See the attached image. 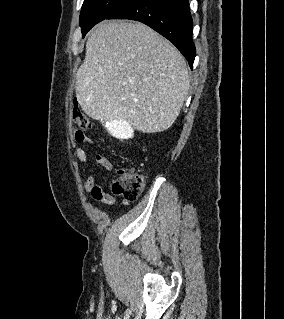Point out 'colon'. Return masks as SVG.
Here are the masks:
<instances>
[{
    "label": "colon",
    "instance_id": "colon-1",
    "mask_svg": "<svg viewBox=\"0 0 284 319\" xmlns=\"http://www.w3.org/2000/svg\"><path fill=\"white\" fill-rule=\"evenodd\" d=\"M73 122L82 130L91 128L89 118L78 108L72 112ZM145 184L144 176L132 169H119L112 181V191L115 195L127 200H135L141 194Z\"/></svg>",
    "mask_w": 284,
    "mask_h": 319
}]
</instances>
